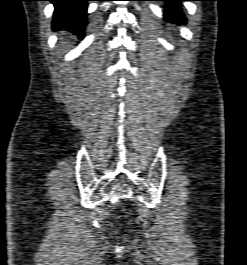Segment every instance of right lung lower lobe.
<instances>
[{
  "mask_svg": "<svg viewBox=\"0 0 247 265\" xmlns=\"http://www.w3.org/2000/svg\"><path fill=\"white\" fill-rule=\"evenodd\" d=\"M54 3L53 29L65 28L83 36L86 26L87 1L91 0H48Z\"/></svg>",
  "mask_w": 247,
  "mask_h": 265,
  "instance_id": "98d812e1",
  "label": "right lung lower lobe"
}]
</instances>
